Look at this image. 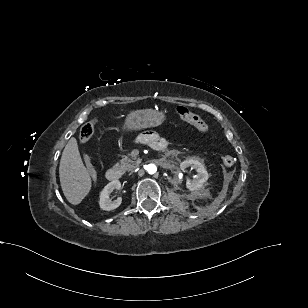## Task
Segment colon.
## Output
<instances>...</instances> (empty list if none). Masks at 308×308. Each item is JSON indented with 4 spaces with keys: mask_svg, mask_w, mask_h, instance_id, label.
<instances>
[{
    "mask_svg": "<svg viewBox=\"0 0 308 308\" xmlns=\"http://www.w3.org/2000/svg\"><path fill=\"white\" fill-rule=\"evenodd\" d=\"M176 111L180 119L187 123H190L199 131L207 132L209 130V126L207 125V123L199 115L191 112L187 107L178 106ZM95 125L96 120H90L82 125L79 131V139L81 143L85 144L91 139L95 130ZM84 161L91 179L95 182L97 174L90 157L88 155H84ZM222 162L226 167H231L235 163V158L231 155H225L222 158Z\"/></svg>",
    "mask_w": 308,
    "mask_h": 308,
    "instance_id": "colon-1",
    "label": "colon"
}]
</instances>
